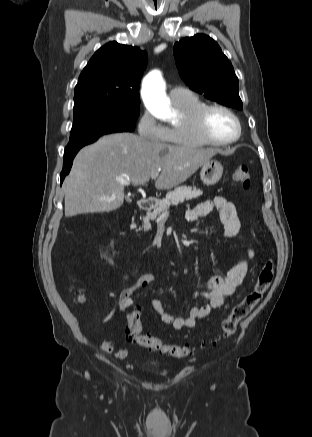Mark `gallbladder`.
I'll return each instance as SVG.
<instances>
[{"instance_id": "obj_1", "label": "gallbladder", "mask_w": 312, "mask_h": 437, "mask_svg": "<svg viewBox=\"0 0 312 437\" xmlns=\"http://www.w3.org/2000/svg\"><path fill=\"white\" fill-rule=\"evenodd\" d=\"M127 200H128V201H131V199H130L129 197H127Z\"/></svg>"}]
</instances>
